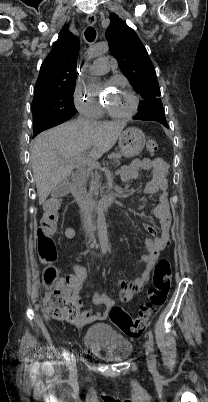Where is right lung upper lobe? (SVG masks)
<instances>
[{"label": "right lung upper lobe", "instance_id": "obj_1", "mask_svg": "<svg viewBox=\"0 0 208 402\" xmlns=\"http://www.w3.org/2000/svg\"><path fill=\"white\" fill-rule=\"evenodd\" d=\"M79 41L65 26L47 57L44 59L34 94L64 83L76 82Z\"/></svg>", "mask_w": 208, "mask_h": 402}]
</instances>
